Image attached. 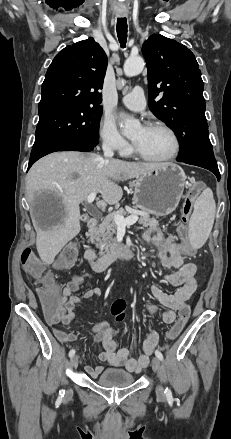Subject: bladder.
Instances as JSON below:
<instances>
[{"instance_id":"bladder-1","label":"bladder","mask_w":231,"mask_h":439,"mask_svg":"<svg viewBox=\"0 0 231 439\" xmlns=\"http://www.w3.org/2000/svg\"><path fill=\"white\" fill-rule=\"evenodd\" d=\"M95 382L102 387H126L135 382V377L122 369H107L103 371Z\"/></svg>"}]
</instances>
